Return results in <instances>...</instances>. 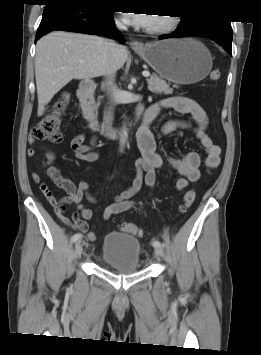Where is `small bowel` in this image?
Returning <instances> with one entry per match:
<instances>
[{"label": "small bowel", "instance_id": "c3829d8e", "mask_svg": "<svg viewBox=\"0 0 261 355\" xmlns=\"http://www.w3.org/2000/svg\"><path fill=\"white\" fill-rule=\"evenodd\" d=\"M163 109H173L179 114L189 115L195 122L193 125L188 120L172 119L167 121L160 129L162 136L170 134H182L184 131L190 130L203 146L206 158L201 161L197 152L190 151L182 157L164 158L157 152V143L155 135L150 131L149 127L138 131V146L141 152V158L136 161L137 174L132 185L120 194L116 195L111 203L104 209L103 218L109 220L112 216L126 212L135 206L131 200L142 187L143 184L153 188L156 183V170L165 167H171L179 173V177L175 179V186L178 190H184L190 182L198 181L201 177L200 168L203 166L210 171L217 168L221 160V148L213 142L207 134L208 116L204 109L193 99L174 96L161 100L145 111L141 106L137 112L141 113L143 118L149 121V124L157 117ZM85 134L75 136L71 141V149L77 159L94 162L98 159L99 154L94 151L96 139H91L90 145L84 144ZM33 142V138H29V143ZM29 157L35 155L33 148L28 149ZM55 154L52 151L46 153L47 176L60 189L65 191L66 195L56 201L49 190L48 186L41 182V177L37 172H32V179L39 187L46 198L53 204L57 205L56 214L58 218L67 226L76 229L87 235L90 241L95 240L96 235L90 229L88 220L93 216L91 209L82 204L84 198L90 203H96L95 198L89 193V187L86 183L81 182L78 185L71 180L64 178L60 170L53 165ZM48 193V195L46 194ZM75 204L78 212H74L71 218L67 217L65 205Z\"/></svg>", "mask_w": 261, "mask_h": 355}]
</instances>
